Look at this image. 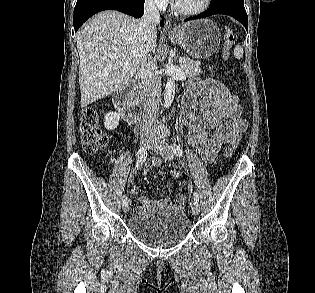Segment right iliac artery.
I'll list each match as a JSON object with an SVG mask.
<instances>
[{"label": "right iliac artery", "instance_id": "1", "mask_svg": "<svg viewBox=\"0 0 315 293\" xmlns=\"http://www.w3.org/2000/svg\"><path fill=\"white\" fill-rule=\"evenodd\" d=\"M147 157V150L145 148H140L139 151L137 152V160H136V168H140L142 164L144 163L145 159ZM122 201L125 202L127 201V196L124 195L122 197Z\"/></svg>", "mask_w": 315, "mask_h": 293}]
</instances>
